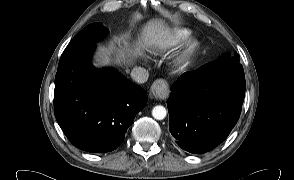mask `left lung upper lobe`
<instances>
[{
	"label": "left lung upper lobe",
	"instance_id": "1",
	"mask_svg": "<svg viewBox=\"0 0 294 180\" xmlns=\"http://www.w3.org/2000/svg\"><path fill=\"white\" fill-rule=\"evenodd\" d=\"M236 56L239 57V55H236ZM220 60H232V61H234V62H239V60H238L237 58H230V57H228V56H226L225 58L220 59Z\"/></svg>",
	"mask_w": 294,
	"mask_h": 180
}]
</instances>
